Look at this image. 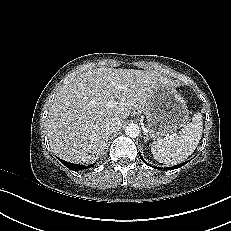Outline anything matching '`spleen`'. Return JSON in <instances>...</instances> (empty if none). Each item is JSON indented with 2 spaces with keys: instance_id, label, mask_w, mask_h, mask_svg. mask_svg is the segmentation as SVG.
<instances>
[{
  "instance_id": "1",
  "label": "spleen",
  "mask_w": 231,
  "mask_h": 231,
  "mask_svg": "<svg viewBox=\"0 0 231 231\" xmlns=\"http://www.w3.org/2000/svg\"><path fill=\"white\" fill-rule=\"evenodd\" d=\"M202 115L196 113L192 121L178 133L166 139L154 140L151 151L154 158L163 164H178L186 160L196 149L202 136Z\"/></svg>"
}]
</instances>
